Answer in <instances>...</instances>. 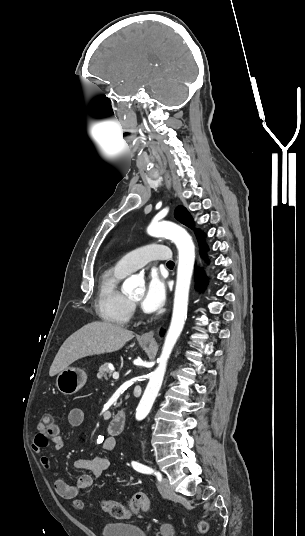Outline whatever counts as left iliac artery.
Here are the masks:
<instances>
[{
    "label": "left iliac artery",
    "instance_id": "44dca946",
    "mask_svg": "<svg viewBox=\"0 0 305 536\" xmlns=\"http://www.w3.org/2000/svg\"><path fill=\"white\" fill-rule=\"evenodd\" d=\"M132 466H133V468L135 470H137L138 472L144 473V474H152V473H154V475L157 477V479L159 481H161L162 476H161L160 472L154 471L152 468H149V467H147L145 465H142V464H140L138 462H135V461L132 462Z\"/></svg>",
    "mask_w": 305,
    "mask_h": 536
}]
</instances>
